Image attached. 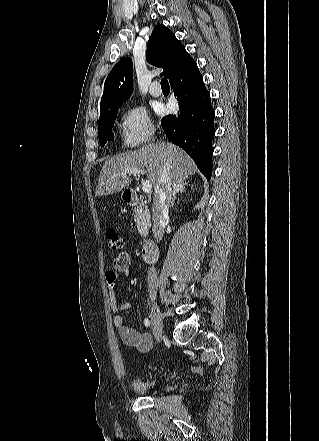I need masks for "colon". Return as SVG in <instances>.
<instances>
[{
	"instance_id": "obj_1",
	"label": "colon",
	"mask_w": 319,
	"mask_h": 441,
	"mask_svg": "<svg viewBox=\"0 0 319 441\" xmlns=\"http://www.w3.org/2000/svg\"><path fill=\"white\" fill-rule=\"evenodd\" d=\"M106 238L108 240V247L113 251L120 250L125 245L122 236L114 228L106 230Z\"/></svg>"
}]
</instances>
